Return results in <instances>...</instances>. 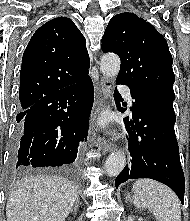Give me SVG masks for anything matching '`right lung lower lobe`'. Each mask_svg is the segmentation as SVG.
<instances>
[{"instance_id": "right-lung-lower-lobe-1", "label": "right lung lower lobe", "mask_w": 190, "mask_h": 221, "mask_svg": "<svg viewBox=\"0 0 190 221\" xmlns=\"http://www.w3.org/2000/svg\"><path fill=\"white\" fill-rule=\"evenodd\" d=\"M94 90L91 78L50 93L19 113L11 156L13 168L73 163L87 140Z\"/></svg>"}]
</instances>
